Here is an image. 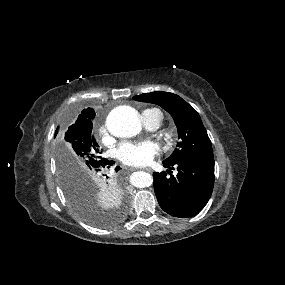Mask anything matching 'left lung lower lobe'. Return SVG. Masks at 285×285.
Returning <instances> with one entry per match:
<instances>
[{
  "label": "left lung lower lobe",
  "mask_w": 285,
  "mask_h": 285,
  "mask_svg": "<svg viewBox=\"0 0 285 285\" xmlns=\"http://www.w3.org/2000/svg\"><path fill=\"white\" fill-rule=\"evenodd\" d=\"M163 165L170 170L176 167L178 174L169 178L166 172L153 174L154 190L161 208L181 218L198 214L213 191L214 159L187 160L175 164L163 162Z\"/></svg>",
  "instance_id": "1"
}]
</instances>
